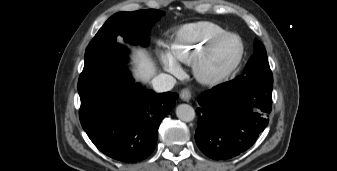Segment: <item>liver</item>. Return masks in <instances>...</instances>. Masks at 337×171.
Masks as SVG:
<instances>
[{"label":"liver","mask_w":337,"mask_h":171,"mask_svg":"<svg viewBox=\"0 0 337 171\" xmlns=\"http://www.w3.org/2000/svg\"><path fill=\"white\" fill-rule=\"evenodd\" d=\"M134 77L142 82H148L156 75V67L147 52L143 49H134L132 56Z\"/></svg>","instance_id":"6515ba94"}]
</instances>
